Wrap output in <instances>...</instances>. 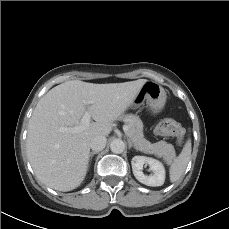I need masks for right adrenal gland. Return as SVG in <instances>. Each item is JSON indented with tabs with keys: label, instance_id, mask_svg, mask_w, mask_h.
Wrapping results in <instances>:
<instances>
[{
	"label": "right adrenal gland",
	"instance_id": "right-adrenal-gland-1",
	"mask_svg": "<svg viewBox=\"0 0 229 229\" xmlns=\"http://www.w3.org/2000/svg\"><path fill=\"white\" fill-rule=\"evenodd\" d=\"M98 153H99L98 151H93V152H91V153L89 154V162H91L93 156H94L95 154H98Z\"/></svg>",
	"mask_w": 229,
	"mask_h": 229
}]
</instances>
